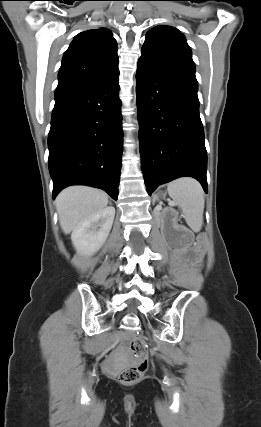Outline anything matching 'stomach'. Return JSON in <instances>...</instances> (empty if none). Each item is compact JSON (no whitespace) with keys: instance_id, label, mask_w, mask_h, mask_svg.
I'll return each instance as SVG.
<instances>
[{"instance_id":"1","label":"stomach","mask_w":261,"mask_h":427,"mask_svg":"<svg viewBox=\"0 0 261 427\" xmlns=\"http://www.w3.org/2000/svg\"><path fill=\"white\" fill-rule=\"evenodd\" d=\"M158 195H159V196H162L163 194L159 193Z\"/></svg>"}]
</instances>
